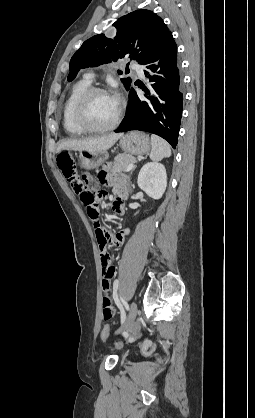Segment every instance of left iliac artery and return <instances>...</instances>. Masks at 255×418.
<instances>
[{
    "mask_svg": "<svg viewBox=\"0 0 255 418\" xmlns=\"http://www.w3.org/2000/svg\"><path fill=\"white\" fill-rule=\"evenodd\" d=\"M122 303H123V305L125 306V308L128 310V309H129V306H128L127 302H126L125 300H123V299H122Z\"/></svg>",
    "mask_w": 255,
    "mask_h": 418,
    "instance_id": "left-iliac-artery-1",
    "label": "left iliac artery"
}]
</instances>
